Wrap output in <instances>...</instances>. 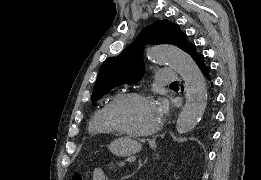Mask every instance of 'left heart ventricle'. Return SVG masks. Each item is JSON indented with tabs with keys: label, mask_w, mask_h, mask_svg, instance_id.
<instances>
[{
	"label": "left heart ventricle",
	"mask_w": 261,
	"mask_h": 180,
	"mask_svg": "<svg viewBox=\"0 0 261 180\" xmlns=\"http://www.w3.org/2000/svg\"><path fill=\"white\" fill-rule=\"evenodd\" d=\"M160 104L153 99H125L109 110V117L116 128L128 135H144L154 127Z\"/></svg>",
	"instance_id": "1"
}]
</instances>
